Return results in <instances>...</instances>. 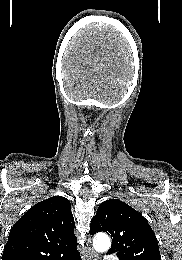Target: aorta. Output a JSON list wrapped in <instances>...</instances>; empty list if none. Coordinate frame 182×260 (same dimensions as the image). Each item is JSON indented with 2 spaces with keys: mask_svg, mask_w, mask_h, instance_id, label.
Instances as JSON below:
<instances>
[{
  "mask_svg": "<svg viewBox=\"0 0 182 260\" xmlns=\"http://www.w3.org/2000/svg\"><path fill=\"white\" fill-rule=\"evenodd\" d=\"M110 246V238L105 233H99L93 239V247L98 252H106Z\"/></svg>",
  "mask_w": 182,
  "mask_h": 260,
  "instance_id": "762f6f07",
  "label": "aorta"
}]
</instances>
